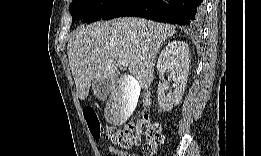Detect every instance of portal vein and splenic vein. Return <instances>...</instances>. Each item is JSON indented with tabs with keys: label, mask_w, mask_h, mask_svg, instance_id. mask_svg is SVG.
I'll list each match as a JSON object with an SVG mask.
<instances>
[{
	"label": "portal vein and splenic vein",
	"mask_w": 261,
	"mask_h": 156,
	"mask_svg": "<svg viewBox=\"0 0 261 156\" xmlns=\"http://www.w3.org/2000/svg\"><path fill=\"white\" fill-rule=\"evenodd\" d=\"M117 63L119 65L123 66V67H127L128 66V62L126 60H119Z\"/></svg>",
	"instance_id": "1"
}]
</instances>
